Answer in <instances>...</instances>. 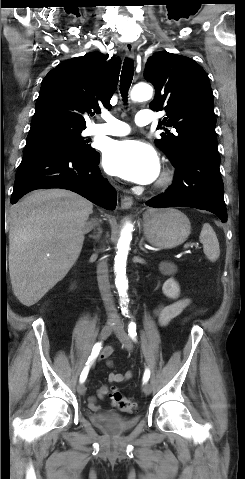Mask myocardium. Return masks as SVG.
Returning a JSON list of instances; mask_svg holds the SVG:
<instances>
[{
    "label": "myocardium",
    "mask_w": 245,
    "mask_h": 479,
    "mask_svg": "<svg viewBox=\"0 0 245 479\" xmlns=\"http://www.w3.org/2000/svg\"><path fill=\"white\" fill-rule=\"evenodd\" d=\"M171 182V174L169 171H163L161 176L159 177L157 183H156V188L162 189L165 188L169 185Z\"/></svg>",
    "instance_id": "f54148a6"
}]
</instances>
